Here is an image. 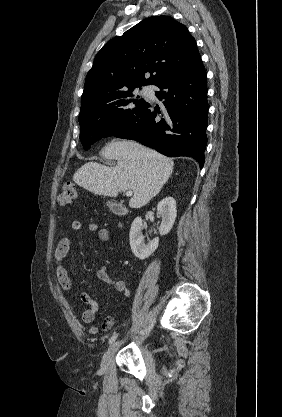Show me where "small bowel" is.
Here are the masks:
<instances>
[{
	"mask_svg": "<svg viewBox=\"0 0 282 417\" xmlns=\"http://www.w3.org/2000/svg\"><path fill=\"white\" fill-rule=\"evenodd\" d=\"M69 229L73 233H77L82 229V222L80 220H72L69 225ZM89 231L97 232L98 238L101 241H107L110 237V231L106 227H98L96 223H90L88 226ZM70 249V238L64 236L60 239L55 251L54 259L56 263V277L60 286L65 290L69 291L72 287V282L69 277V274L65 267L63 266V261L66 258ZM96 277L99 281L105 283L106 285L112 287L116 292L121 293L125 298L130 296V290L127 284L120 279L111 277L107 270L104 267H101L96 272ZM80 298L83 303L87 305V308L82 312V319L85 323L91 324L89 328L90 334H96L99 330L108 331L110 330L115 322L113 315H108L105 317L101 326L92 324L98 310V302L87 292H82Z\"/></svg>",
	"mask_w": 282,
	"mask_h": 417,
	"instance_id": "c3829d8e",
	"label": "small bowel"
}]
</instances>
